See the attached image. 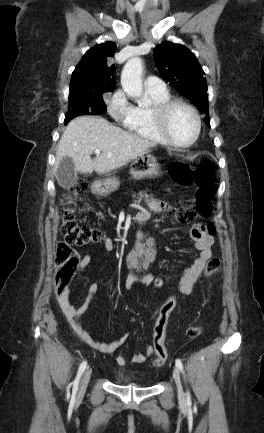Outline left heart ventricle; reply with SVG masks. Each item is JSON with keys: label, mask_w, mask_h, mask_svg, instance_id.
Returning <instances> with one entry per match:
<instances>
[{"label": "left heart ventricle", "mask_w": 264, "mask_h": 433, "mask_svg": "<svg viewBox=\"0 0 264 433\" xmlns=\"http://www.w3.org/2000/svg\"><path fill=\"white\" fill-rule=\"evenodd\" d=\"M168 129L171 137L176 142L187 143L195 133V119L189 110L178 107L170 114Z\"/></svg>", "instance_id": "left-heart-ventricle-1"}]
</instances>
